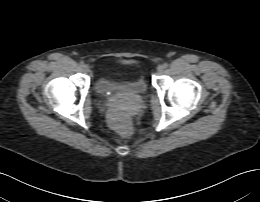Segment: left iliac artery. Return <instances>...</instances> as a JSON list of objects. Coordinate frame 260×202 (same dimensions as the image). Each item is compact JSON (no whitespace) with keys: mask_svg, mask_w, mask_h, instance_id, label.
Returning <instances> with one entry per match:
<instances>
[{"mask_svg":"<svg viewBox=\"0 0 260 202\" xmlns=\"http://www.w3.org/2000/svg\"><path fill=\"white\" fill-rule=\"evenodd\" d=\"M168 66H169L168 63H164V64H163V67H164V68H167Z\"/></svg>","mask_w":260,"mask_h":202,"instance_id":"1","label":"left iliac artery"}]
</instances>
